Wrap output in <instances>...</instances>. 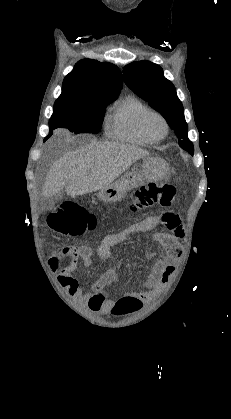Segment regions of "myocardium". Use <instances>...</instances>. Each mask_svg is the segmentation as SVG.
I'll list each match as a JSON object with an SVG mask.
<instances>
[{
    "instance_id": "obj_1",
    "label": "myocardium",
    "mask_w": 231,
    "mask_h": 419,
    "mask_svg": "<svg viewBox=\"0 0 231 419\" xmlns=\"http://www.w3.org/2000/svg\"><path fill=\"white\" fill-rule=\"evenodd\" d=\"M152 116L160 118L164 124V133L160 137H153L147 130V121ZM140 130L147 140H149L150 142H158L163 140L167 136L169 132V123L163 114H161L158 111L150 110L142 116L140 120Z\"/></svg>"
}]
</instances>
